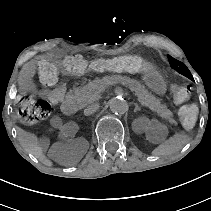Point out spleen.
<instances>
[{"label": "spleen", "mask_w": 211, "mask_h": 211, "mask_svg": "<svg viewBox=\"0 0 211 211\" xmlns=\"http://www.w3.org/2000/svg\"><path fill=\"white\" fill-rule=\"evenodd\" d=\"M190 142V137L183 133H176L168 140L161 143L152 151L155 156H167L179 151L184 145Z\"/></svg>", "instance_id": "spleen-1"}]
</instances>
